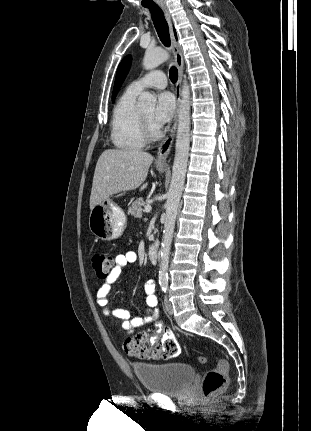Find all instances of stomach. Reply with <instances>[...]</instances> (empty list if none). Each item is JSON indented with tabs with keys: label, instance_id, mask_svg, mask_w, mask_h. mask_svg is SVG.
<instances>
[{
	"label": "stomach",
	"instance_id": "obj_1",
	"mask_svg": "<svg viewBox=\"0 0 311 431\" xmlns=\"http://www.w3.org/2000/svg\"><path fill=\"white\" fill-rule=\"evenodd\" d=\"M159 174L165 172V168H158ZM127 225V217L122 208L115 204L113 198H107L99 202L89 214V229L99 239H117L122 235Z\"/></svg>",
	"mask_w": 311,
	"mask_h": 431
}]
</instances>
